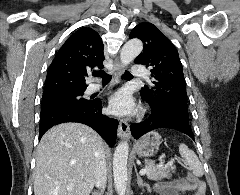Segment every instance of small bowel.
Listing matches in <instances>:
<instances>
[{
  "label": "small bowel",
  "mask_w": 240,
  "mask_h": 195,
  "mask_svg": "<svg viewBox=\"0 0 240 195\" xmlns=\"http://www.w3.org/2000/svg\"><path fill=\"white\" fill-rule=\"evenodd\" d=\"M205 190L206 186H191V182H187L184 178L161 181L154 187L157 195H185L186 193L205 195Z\"/></svg>",
  "instance_id": "obj_1"
}]
</instances>
